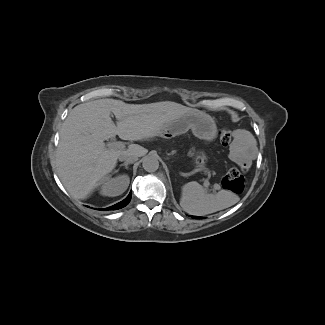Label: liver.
<instances>
[{
    "label": "liver",
    "instance_id": "1",
    "mask_svg": "<svg viewBox=\"0 0 325 325\" xmlns=\"http://www.w3.org/2000/svg\"><path fill=\"white\" fill-rule=\"evenodd\" d=\"M194 112L200 111L171 101L126 104L121 100L99 99L79 104L62 125L53 168L72 197L86 199L125 152L106 148L105 140L116 135L131 141L150 138L165 124ZM128 152L143 155L146 149L131 145Z\"/></svg>",
    "mask_w": 325,
    "mask_h": 325
}]
</instances>
